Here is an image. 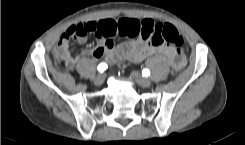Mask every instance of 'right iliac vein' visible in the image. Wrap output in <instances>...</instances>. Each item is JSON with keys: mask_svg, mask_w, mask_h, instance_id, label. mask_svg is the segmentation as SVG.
<instances>
[{"mask_svg": "<svg viewBox=\"0 0 245 145\" xmlns=\"http://www.w3.org/2000/svg\"><path fill=\"white\" fill-rule=\"evenodd\" d=\"M93 82L97 86L102 85L104 83V74L100 73V74L96 75Z\"/></svg>", "mask_w": 245, "mask_h": 145, "instance_id": "obj_1", "label": "right iliac vein"}]
</instances>
